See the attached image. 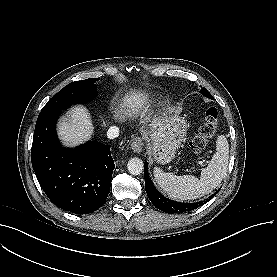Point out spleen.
Masks as SVG:
<instances>
[{
	"instance_id": "spleen-1",
	"label": "spleen",
	"mask_w": 277,
	"mask_h": 277,
	"mask_svg": "<svg viewBox=\"0 0 277 277\" xmlns=\"http://www.w3.org/2000/svg\"><path fill=\"white\" fill-rule=\"evenodd\" d=\"M216 153L206 168L201 171L200 179L193 175L176 176L154 168V179L167 195L178 200H192L209 194L227 174L229 144L221 135L216 141Z\"/></svg>"
}]
</instances>
